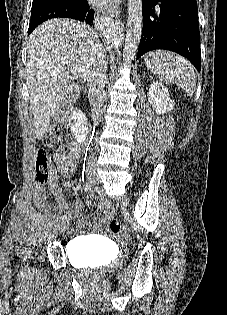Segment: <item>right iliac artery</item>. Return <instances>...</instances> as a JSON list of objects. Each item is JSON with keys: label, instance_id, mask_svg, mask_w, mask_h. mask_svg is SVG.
I'll use <instances>...</instances> for the list:
<instances>
[{"label": "right iliac artery", "instance_id": "obj_1", "mask_svg": "<svg viewBox=\"0 0 227 315\" xmlns=\"http://www.w3.org/2000/svg\"><path fill=\"white\" fill-rule=\"evenodd\" d=\"M92 189V183H90V182H87V183H85L84 184V190L85 191H90ZM67 219H68V216L67 215H63L62 217H61V220L64 222V221H67Z\"/></svg>", "mask_w": 227, "mask_h": 315}]
</instances>
